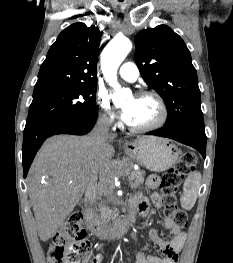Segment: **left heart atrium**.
Returning a JSON list of instances; mask_svg holds the SVG:
<instances>
[{"instance_id": "obj_1", "label": "left heart atrium", "mask_w": 233, "mask_h": 263, "mask_svg": "<svg viewBox=\"0 0 233 263\" xmlns=\"http://www.w3.org/2000/svg\"><path fill=\"white\" fill-rule=\"evenodd\" d=\"M133 115L134 111L132 106L124 108L121 112V118L126 124H131L133 120Z\"/></svg>"}]
</instances>
